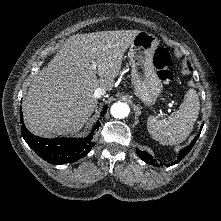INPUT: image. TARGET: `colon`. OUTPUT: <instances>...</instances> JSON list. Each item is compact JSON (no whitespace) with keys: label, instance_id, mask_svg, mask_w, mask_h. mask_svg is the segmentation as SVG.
I'll list each match as a JSON object with an SVG mask.
<instances>
[{"label":"colon","instance_id":"1","mask_svg":"<svg viewBox=\"0 0 221 221\" xmlns=\"http://www.w3.org/2000/svg\"><path fill=\"white\" fill-rule=\"evenodd\" d=\"M153 61L157 69L158 78L164 83L171 82L174 74L172 71V59L168 49L164 46H159L155 51Z\"/></svg>","mask_w":221,"mask_h":221}]
</instances>
